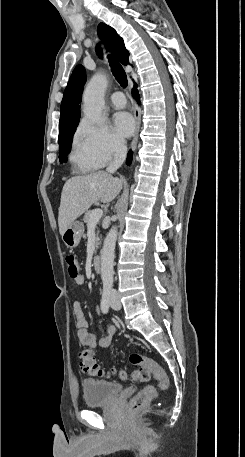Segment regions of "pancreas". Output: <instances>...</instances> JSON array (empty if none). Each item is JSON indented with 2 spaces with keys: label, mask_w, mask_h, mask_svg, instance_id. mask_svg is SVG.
I'll return each mask as SVG.
<instances>
[{
  "label": "pancreas",
  "mask_w": 245,
  "mask_h": 457,
  "mask_svg": "<svg viewBox=\"0 0 245 457\" xmlns=\"http://www.w3.org/2000/svg\"><path fill=\"white\" fill-rule=\"evenodd\" d=\"M93 210H86L85 214H84V222H87V224H89L90 222V214H92ZM96 224H99V220H97ZM98 241H100V239H98V231H97V235H96V245H95V249H98Z\"/></svg>",
  "instance_id": "cf45deb5"
}]
</instances>
